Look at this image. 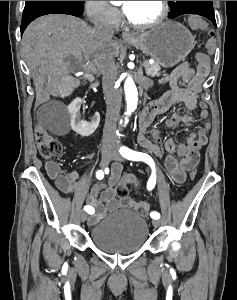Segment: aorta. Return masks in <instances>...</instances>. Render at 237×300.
<instances>
[{
	"label": "aorta",
	"mask_w": 237,
	"mask_h": 300,
	"mask_svg": "<svg viewBox=\"0 0 237 300\" xmlns=\"http://www.w3.org/2000/svg\"><path fill=\"white\" fill-rule=\"evenodd\" d=\"M124 91L126 95V105H127V113L126 115H131L135 109H137L138 105V93L136 89V85L131 79V77H127L124 83ZM128 117H126L127 121Z\"/></svg>",
	"instance_id": "obj_1"
}]
</instances>
